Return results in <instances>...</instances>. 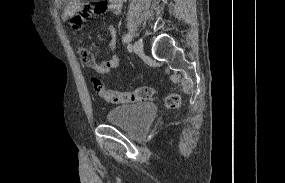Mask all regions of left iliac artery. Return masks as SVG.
Returning a JSON list of instances; mask_svg holds the SVG:
<instances>
[{
  "label": "left iliac artery",
  "instance_id": "left-iliac-artery-1",
  "mask_svg": "<svg viewBox=\"0 0 285 183\" xmlns=\"http://www.w3.org/2000/svg\"><path fill=\"white\" fill-rule=\"evenodd\" d=\"M132 40V35L130 33L126 34L123 38L124 43L130 42Z\"/></svg>",
  "mask_w": 285,
  "mask_h": 183
}]
</instances>
